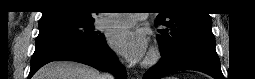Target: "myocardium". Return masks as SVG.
<instances>
[{
	"label": "myocardium",
	"mask_w": 255,
	"mask_h": 79,
	"mask_svg": "<svg viewBox=\"0 0 255 79\" xmlns=\"http://www.w3.org/2000/svg\"><path fill=\"white\" fill-rule=\"evenodd\" d=\"M161 51L157 47H152L146 57V59L143 61L144 67H153L155 66L161 59Z\"/></svg>",
	"instance_id": "myocardium-1"
}]
</instances>
